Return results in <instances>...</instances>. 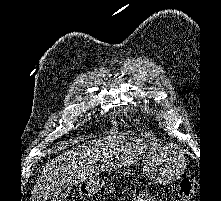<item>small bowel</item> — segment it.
<instances>
[{"label": "small bowel", "mask_w": 221, "mask_h": 201, "mask_svg": "<svg viewBox=\"0 0 221 201\" xmlns=\"http://www.w3.org/2000/svg\"><path fill=\"white\" fill-rule=\"evenodd\" d=\"M132 201H157L152 196H150L148 193H140L137 196L133 198Z\"/></svg>", "instance_id": "1"}]
</instances>
